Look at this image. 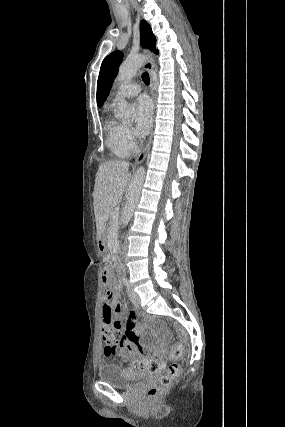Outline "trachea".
Instances as JSON below:
<instances>
[{
	"label": "trachea",
	"mask_w": 285,
	"mask_h": 427,
	"mask_svg": "<svg viewBox=\"0 0 285 427\" xmlns=\"http://www.w3.org/2000/svg\"><path fill=\"white\" fill-rule=\"evenodd\" d=\"M142 80L144 81V83H145L146 85H149V84H150V78H149V74H148V72H144V73L142 74Z\"/></svg>",
	"instance_id": "1"
}]
</instances>
